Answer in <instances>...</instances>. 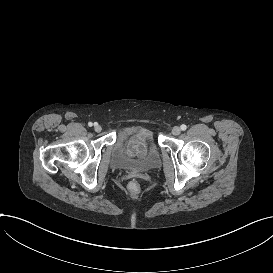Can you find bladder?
Wrapping results in <instances>:
<instances>
[{
	"mask_svg": "<svg viewBox=\"0 0 273 273\" xmlns=\"http://www.w3.org/2000/svg\"><path fill=\"white\" fill-rule=\"evenodd\" d=\"M137 132L143 133L146 137L150 146L148 154L141 159H131L126 157L123 154V145L125 140L133 133V131H125L117 136V139L111 148L110 164L113 168L122 171L146 173L160 166V152L153 134L145 129H139Z\"/></svg>",
	"mask_w": 273,
	"mask_h": 273,
	"instance_id": "1",
	"label": "bladder"
}]
</instances>
